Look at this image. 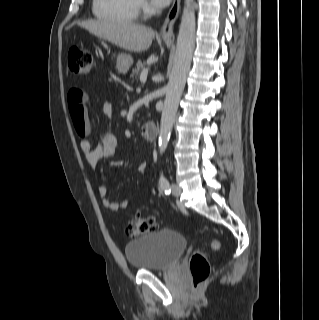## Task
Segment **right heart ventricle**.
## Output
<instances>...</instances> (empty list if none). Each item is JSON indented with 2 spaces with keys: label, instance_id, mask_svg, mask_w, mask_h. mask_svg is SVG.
<instances>
[{
  "label": "right heart ventricle",
  "instance_id": "right-heart-ventricle-1",
  "mask_svg": "<svg viewBox=\"0 0 319 320\" xmlns=\"http://www.w3.org/2000/svg\"><path fill=\"white\" fill-rule=\"evenodd\" d=\"M137 0H93L92 11L100 20L128 24L138 15Z\"/></svg>",
  "mask_w": 319,
  "mask_h": 320
}]
</instances>
